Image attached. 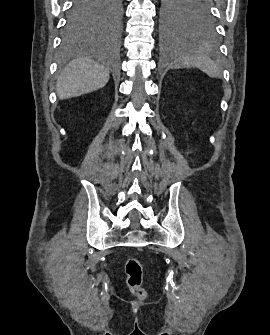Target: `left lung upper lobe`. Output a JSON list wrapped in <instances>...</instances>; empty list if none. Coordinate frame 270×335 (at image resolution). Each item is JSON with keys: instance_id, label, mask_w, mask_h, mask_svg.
Segmentation results:
<instances>
[{"instance_id": "left-lung-upper-lobe-1", "label": "left lung upper lobe", "mask_w": 270, "mask_h": 335, "mask_svg": "<svg viewBox=\"0 0 270 335\" xmlns=\"http://www.w3.org/2000/svg\"><path fill=\"white\" fill-rule=\"evenodd\" d=\"M161 27L166 33L187 30L212 32L210 0H161Z\"/></svg>"}]
</instances>
